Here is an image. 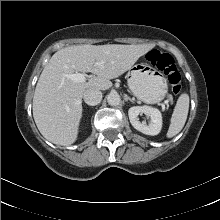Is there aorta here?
Segmentation results:
<instances>
[{"label": "aorta", "mask_w": 220, "mask_h": 220, "mask_svg": "<svg viewBox=\"0 0 220 220\" xmlns=\"http://www.w3.org/2000/svg\"><path fill=\"white\" fill-rule=\"evenodd\" d=\"M107 102L111 106H118L121 103V98L118 93L112 92L107 95Z\"/></svg>", "instance_id": "1"}]
</instances>
